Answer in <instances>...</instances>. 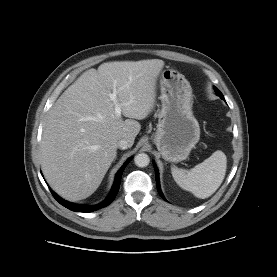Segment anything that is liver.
Here are the masks:
<instances>
[{
  "mask_svg": "<svg viewBox=\"0 0 277 277\" xmlns=\"http://www.w3.org/2000/svg\"><path fill=\"white\" fill-rule=\"evenodd\" d=\"M160 59L114 61L85 71L49 110L41 142L43 174L70 201L92 195L116 157L118 141L133 145L155 105ZM116 89L125 121L109 94ZM128 103L127 105H125Z\"/></svg>",
  "mask_w": 277,
  "mask_h": 277,
  "instance_id": "6515ba94",
  "label": "liver"
}]
</instances>
